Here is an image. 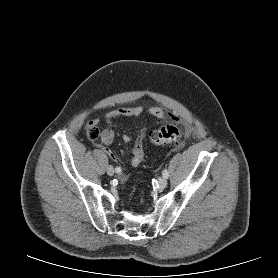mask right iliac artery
Masks as SVG:
<instances>
[{"mask_svg":"<svg viewBox=\"0 0 278 278\" xmlns=\"http://www.w3.org/2000/svg\"><path fill=\"white\" fill-rule=\"evenodd\" d=\"M115 171H116L117 173H120V172H121V168H120V167H116V168H115Z\"/></svg>","mask_w":278,"mask_h":278,"instance_id":"82829eb1","label":"right iliac artery"}]
</instances>
